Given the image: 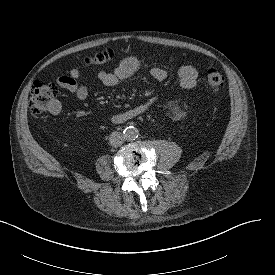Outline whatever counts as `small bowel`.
Segmentation results:
<instances>
[{
  "label": "small bowel",
  "instance_id": "1",
  "mask_svg": "<svg viewBox=\"0 0 275 275\" xmlns=\"http://www.w3.org/2000/svg\"><path fill=\"white\" fill-rule=\"evenodd\" d=\"M139 68L140 60L137 57H126L113 70L101 71L98 74V82L103 87H114L122 79L133 76ZM150 73L160 83L168 79V73L162 67L154 66L150 69ZM178 77L182 88L192 89L197 84L198 71L191 65H183L178 70ZM56 82L61 88L69 91L78 100H85L89 95V88L81 82V73L77 68L71 69L68 74L61 75L57 78ZM155 101V96H149L138 105L115 114L113 120L121 123L136 118L145 113ZM52 112L58 113L59 107H53Z\"/></svg>",
  "mask_w": 275,
  "mask_h": 275
}]
</instances>
